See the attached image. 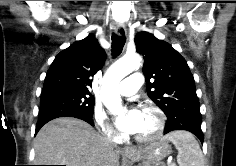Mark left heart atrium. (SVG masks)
Instances as JSON below:
<instances>
[{"mask_svg":"<svg viewBox=\"0 0 236 166\" xmlns=\"http://www.w3.org/2000/svg\"><path fill=\"white\" fill-rule=\"evenodd\" d=\"M116 125L125 134H137L142 126V111L131 108L116 120Z\"/></svg>","mask_w":236,"mask_h":166,"instance_id":"left-heart-atrium-1","label":"left heart atrium"}]
</instances>
